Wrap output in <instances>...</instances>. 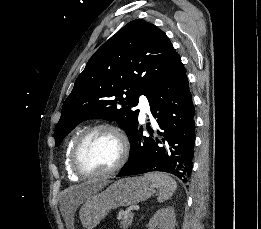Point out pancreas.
<instances>
[{
	"instance_id": "obj_1",
	"label": "pancreas",
	"mask_w": 261,
	"mask_h": 229,
	"mask_svg": "<svg viewBox=\"0 0 261 229\" xmlns=\"http://www.w3.org/2000/svg\"><path fill=\"white\" fill-rule=\"evenodd\" d=\"M133 217H134L133 213H130V217H127V219H121L120 229H128L131 223H133Z\"/></svg>"
}]
</instances>
